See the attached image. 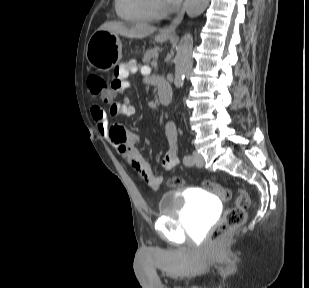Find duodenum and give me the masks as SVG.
<instances>
[{
	"label": "duodenum",
	"instance_id": "1",
	"mask_svg": "<svg viewBox=\"0 0 309 288\" xmlns=\"http://www.w3.org/2000/svg\"><path fill=\"white\" fill-rule=\"evenodd\" d=\"M158 97L162 105H169L172 101V89L166 82L161 81L158 86Z\"/></svg>",
	"mask_w": 309,
	"mask_h": 288
}]
</instances>
